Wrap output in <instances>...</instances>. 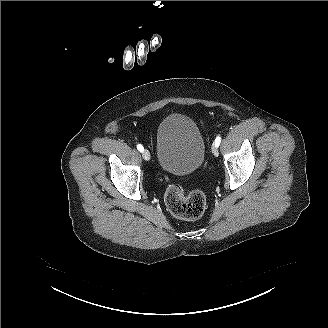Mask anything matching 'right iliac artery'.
<instances>
[{
	"label": "right iliac artery",
	"mask_w": 328,
	"mask_h": 328,
	"mask_svg": "<svg viewBox=\"0 0 328 328\" xmlns=\"http://www.w3.org/2000/svg\"><path fill=\"white\" fill-rule=\"evenodd\" d=\"M137 149L142 152L144 150L143 146L141 144H138L137 145Z\"/></svg>",
	"instance_id": "obj_1"
}]
</instances>
